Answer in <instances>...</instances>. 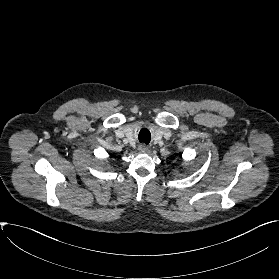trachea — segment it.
<instances>
[{
  "mask_svg": "<svg viewBox=\"0 0 279 279\" xmlns=\"http://www.w3.org/2000/svg\"><path fill=\"white\" fill-rule=\"evenodd\" d=\"M139 141L148 144L150 142V132L147 129H143L139 133Z\"/></svg>",
  "mask_w": 279,
  "mask_h": 279,
  "instance_id": "trachea-1",
  "label": "trachea"
}]
</instances>
